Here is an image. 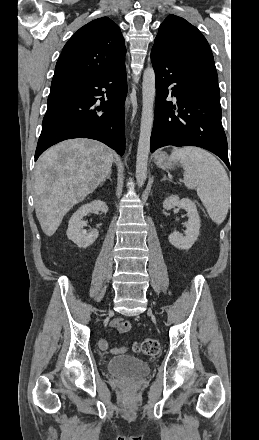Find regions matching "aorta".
I'll list each match as a JSON object with an SVG mask.
<instances>
[{"label": "aorta", "instance_id": "762f6f07", "mask_svg": "<svg viewBox=\"0 0 259 440\" xmlns=\"http://www.w3.org/2000/svg\"><path fill=\"white\" fill-rule=\"evenodd\" d=\"M142 98L143 107L136 162V181L139 187L144 185L147 178L150 136L154 119L155 73L152 67L145 69L143 74Z\"/></svg>", "mask_w": 259, "mask_h": 440}]
</instances>
